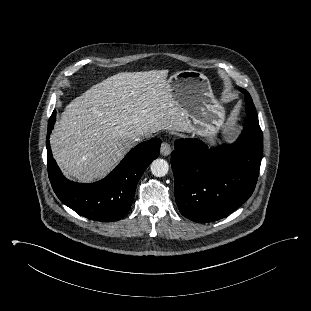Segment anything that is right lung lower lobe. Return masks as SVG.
<instances>
[{
    "mask_svg": "<svg viewBox=\"0 0 311 311\" xmlns=\"http://www.w3.org/2000/svg\"><path fill=\"white\" fill-rule=\"evenodd\" d=\"M53 111L47 131V166L52 188L62 203L79 215L101 222L118 221L129 211L136 185L150 163L160 152L161 140L154 138L137 145L104 179L79 184L66 179L51 152L49 135L54 127Z\"/></svg>",
    "mask_w": 311,
    "mask_h": 311,
    "instance_id": "obj_1",
    "label": "right lung lower lobe"
}]
</instances>
